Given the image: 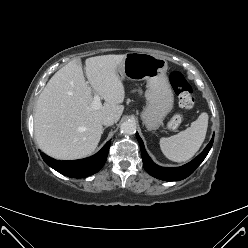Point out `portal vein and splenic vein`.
<instances>
[{
  "instance_id": "portal-vein-and-splenic-vein-1",
  "label": "portal vein and splenic vein",
  "mask_w": 248,
  "mask_h": 248,
  "mask_svg": "<svg viewBox=\"0 0 248 248\" xmlns=\"http://www.w3.org/2000/svg\"><path fill=\"white\" fill-rule=\"evenodd\" d=\"M92 105H93L94 107H100V106H101L100 96H99L97 93H95V95H94Z\"/></svg>"
}]
</instances>
